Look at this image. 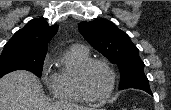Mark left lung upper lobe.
Returning <instances> with one entry per match:
<instances>
[{
  "mask_svg": "<svg viewBox=\"0 0 171 110\" xmlns=\"http://www.w3.org/2000/svg\"><path fill=\"white\" fill-rule=\"evenodd\" d=\"M78 29L94 49L118 66L121 72L119 89L150 90L139 50L125 32L111 21L103 19L80 22Z\"/></svg>",
  "mask_w": 171,
  "mask_h": 110,
  "instance_id": "1",
  "label": "left lung upper lobe"
}]
</instances>
